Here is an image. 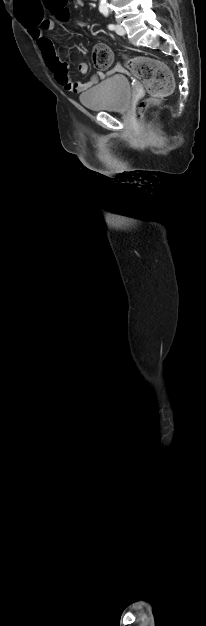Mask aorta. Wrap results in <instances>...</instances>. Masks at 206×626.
<instances>
[{
    "label": "aorta",
    "instance_id": "1",
    "mask_svg": "<svg viewBox=\"0 0 206 626\" xmlns=\"http://www.w3.org/2000/svg\"><path fill=\"white\" fill-rule=\"evenodd\" d=\"M100 7L107 9V0H100Z\"/></svg>",
    "mask_w": 206,
    "mask_h": 626
}]
</instances>
